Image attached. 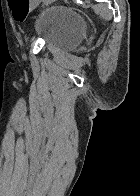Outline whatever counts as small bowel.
<instances>
[{
	"mask_svg": "<svg viewBox=\"0 0 140 196\" xmlns=\"http://www.w3.org/2000/svg\"><path fill=\"white\" fill-rule=\"evenodd\" d=\"M33 1V3H36V2H38L39 0H32Z\"/></svg>",
	"mask_w": 140,
	"mask_h": 196,
	"instance_id": "1",
	"label": "small bowel"
}]
</instances>
